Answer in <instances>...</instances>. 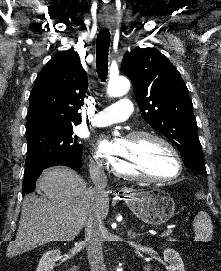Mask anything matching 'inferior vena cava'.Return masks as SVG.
Wrapping results in <instances>:
<instances>
[{
    "label": "inferior vena cava",
    "instance_id": "obj_1",
    "mask_svg": "<svg viewBox=\"0 0 221 271\" xmlns=\"http://www.w3.org/2000/svg\"><path fill=\"white\" fill-rule=\"evenodd\" d=\"M95 167L98 171V177L91 191L93 197L84 221L85 243L90 271H106L102 251L106 227L103 221L104 217L100 211L99 201L104 197H108V191L105 189L108 179L101 163H96Z\"/></svg>",
    "mask_w": 221,
    "mask_h": 271
}]
</instances>
